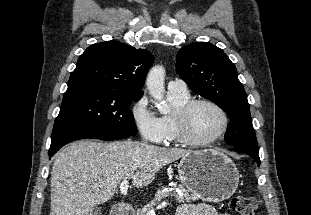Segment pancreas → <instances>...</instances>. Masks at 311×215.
Listing matches in <instances>:
<instances>
[{
	"label": "pancreas",
	"mask_w": 311,
	"mask_h": 215,
	"mask_svg": "<svg viewBox=\"0 0 311 215\" xmlns=\"http://www.w3.org/2000/svg\"><path fill=\"white\" fill-rule=\"evenodd\" d=\"M172 188H177V190H179L181 194H178L177 192L170 193V190ZM172 188L166 191L159 189L156 192L153 200H151V202L145 205L142 209H138L136 215H147V212L154 206H156L158 202L169 196H174L177 202H191L192 200H197V197L194 194H189V191L185 189L182 185L174 184Z\"/></svg>",
	"instance_id": "pancreas-1"
}]
</instances>
